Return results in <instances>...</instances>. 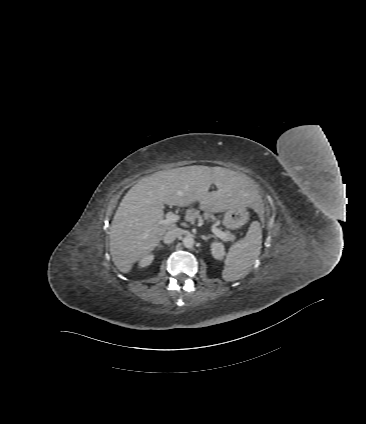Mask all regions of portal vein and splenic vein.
Wrapping results in <instances>:
<instances>
[{"mask_svg": "<svg viewBox=\"0 0 366 424\" xmlns=\"http://www.w3.org/2000/svg\"><path fill=\"white\" fill-rule=\"evenodd\" d=\"M180 220V216L171 212L166 213L165 220L162 223H175ZM212 232L221 239H226L227 235L216 227H212Z\"/></svg>", "mask_w": 366, "mask_h": 424, "instance_id": "obj_1", "label": "portal vein and splenic vein"}]
</instances>
